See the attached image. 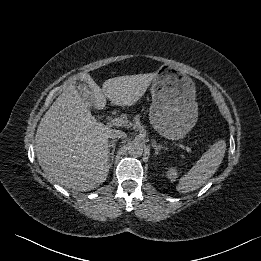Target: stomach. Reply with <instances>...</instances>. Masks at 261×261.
Returning a JSON list of instances; mask_svg holds the SVG:
<instances>
[{
	"label": "stomach",
	"instance_id": "1",
	"mask_svg": "<svg viewBox=\"0 0 261 261\" xmlns=\"http://www.w3.org/2000/svg\"><path fill=\"white\" fill-rule=\"evenodd\" d=\"M151 85L149 119L163 137L179 140L194 127L198 117L193 80L177 69L162 65Z\"/></svg>",
	"mask_w": 261,
	"mask_h": 261
}]
</instances>
